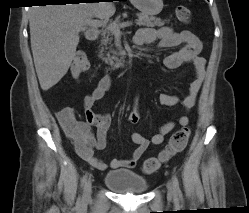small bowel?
<instances>
[{
	"label": "small bowel",
	"instance_id": "c3829d8e",
	"mask_svg": "<svg viewBox=\"0 0 249 213\" xmlns=\"http://www.w3.org/2000/svg\"><path fill=\"white\" fill-rule=\"evenodd\" d=\"M134 41L137 45L152 44L158 42L161 48L180 47L178 51L167 55L164 65L168 69H176L182 64H192L194 68V78L191 81L186 96L179 100L176 96L161 94L159 101L164 106H174L179 102L188 111L197 99L199 90L205 77L206 60L200 56L202 49L201 41L190 31L176 32L170 27L150 28L144 27L138 30ZM111 77H103L95 89L84 98V108L86 120H78L75 110L71 107L62 108L57 112V118L63 131L73 140L78 155L90 166L105 170L108 165L98 160L95 150H104L107 146V132L111 124L109 114L95 113L94 104L102 99L111 86ZM140 121L137 101L135 100L133 109L128 116V122L137 124ZM189 119L187 115H182L177 124L187 126ZM96 127L93 133L91 127ZM175 127V123L170 121L161 126L156 134L147 138L138 132L131 135V141L136 146L132 156L128 159L114 158L109 166L113 169L133 168L138 160L146 152L150 144H161L165 136ZM71 130V131H70Z\"/></svg>",
	"mask_w": 249,
	"mask_h": 213
}]
</instances>
